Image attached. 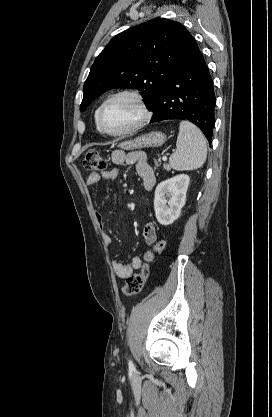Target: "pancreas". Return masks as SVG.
<instances>
[{"label": "pancreas", "instance_id": "obj_1", "mask_svg": "<svg viewBox=\"0 0 272 417\" xmlns=\"http://www.w3.org/2000/svg\"><path fill=\"white\" fill-rule=\"evenodd\" d=\"M157 167H158V164L156 163V164H155V168H157ZM164 168H165L166 170H170L169 165L164 164Z\"/></svg>", "mask_w": 272, "mask_h": 417}]
</instances>
